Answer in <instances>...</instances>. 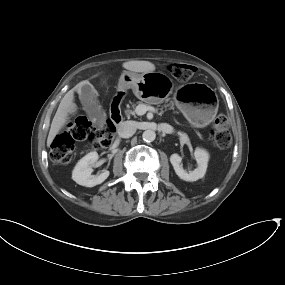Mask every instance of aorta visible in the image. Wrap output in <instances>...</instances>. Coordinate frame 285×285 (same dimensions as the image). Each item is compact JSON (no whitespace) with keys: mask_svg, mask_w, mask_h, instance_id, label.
<instances>
[{"mask_svg":"<svg viewBox=\"0 0 285 285\" xmlns=\"http://www.w3.org/2000/svg\"><path fill=\"white\" fill-rule=\"evenodd\" d=\"M142 138L145 142H153L156 138V133L153 130H145Z\"/></svg>","mask_w":285,"mask_h":285,"instance_id":"aorta-1","label":"aorta"}]
</instances>
